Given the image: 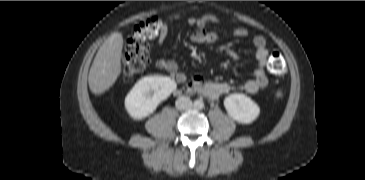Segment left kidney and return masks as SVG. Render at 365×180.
<instances>
[{
    "label": "left kidney",
    "instance_id": "left-kidney-1",
    "mask_svg": "<svg viewBox=\"0 0 365 180\" xmlns=\"http://www.w3.org/2000/svg\"><path fill=\"white\" fill-rule=\"evenodd\" d=\"M230 117L239 123H252L260 114L259 106L244 94H231L224 100Z\"/></svg>",
    "mask_w": 365,
    "mask_h": 180
}]
</instances>
